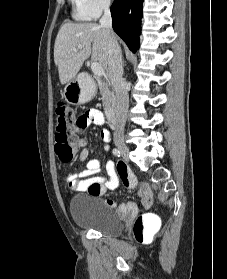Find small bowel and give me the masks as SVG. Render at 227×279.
Listing matches in <instances>:
<instances>
[{"label": "small bowel", "instance_id": "1", "mask_svg": "<svg viewBox=\"0 0 227 279\" xmlns=\"http://www.w3.org/2000/svg\"><path fill=\"white\" fill-rule=\"evenodd\" d=\"M94 124L103 126L105 124V118L103 113L98 109H89L85 114V121L81 127ZM101 140L105 143V149L108 151V144L110 142V132L104 128L100 134ZM75 144L77 147L82 148L79 152V160L86 162L85 169L77 173H65L64 179L72 191H85L90 190V183H98L101 186V191L114 190L121 182L123 186L136 189L137 194L140 197V208L149 209L152 206V191L146 184L137 185V180L133 173L127 172L126 175H117L115 163L112 160H108L105 164V171L107 177L100 176L102 171L101 160L99 157L90 158L89 151L85 148L88 144L87 138L84 136L81 130L76 131ZM106 205L112 209H115L119 213L134 215L139 211V207L134 204H116L112 199L105 200Z\"/></svg>", "mask_w": 227, "mask_h": 279}]
</instances>
